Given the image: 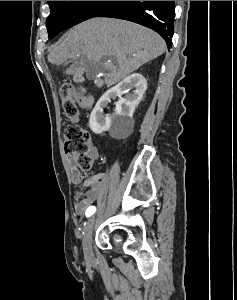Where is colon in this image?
Returning a JSON list of instances; mask_svg holds the SVG:
<instances>
[{
    "label": "colon",
    "mask_w": 237,
    "mask_h": 300,
    "mask_svg": "<svg viewBox=\"0 0 237 300\" xmlns=\"http://www.w3.org/2000/svg\"><path fill=\"white\" fill-rule=\"evenodd\" d=\"M62 107L69 119L78 116L74 90L71 85L65 84L60 89ZM65 152L72 156L82 171H89L93 165V159L89 154L91 138L89 133L75 123L69 124L64 132Z\"/></svg>",
    "instance_id": "1"
}]
</instances>
